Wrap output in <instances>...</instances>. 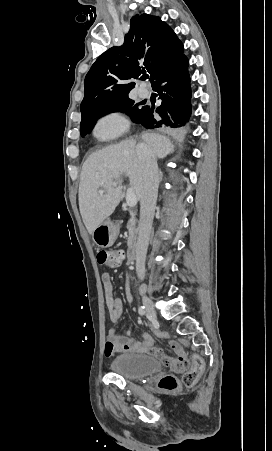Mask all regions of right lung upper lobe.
<instances>
[{
  "instance_id": "obj_1",
  "label": "right lung upper lobe",
  "mask_w": 272,
  "mask_h": 451,
  "mask_svg": "<svg viewBox=\"0 0 272 451\" xmlns=\"http://www.w3.org/2000/svg\"><path fill=\"white\" fill-rule=\"evenodd\" d=\"M183 53V44L159 17L135 15L121 47L100 55L85 77L81 113L111 101L129 98L132 78L146 69L153 82L157 74Z\"/></svg>"
}]
</instances>
